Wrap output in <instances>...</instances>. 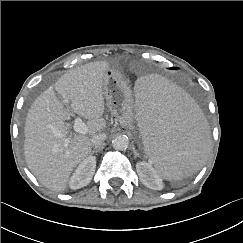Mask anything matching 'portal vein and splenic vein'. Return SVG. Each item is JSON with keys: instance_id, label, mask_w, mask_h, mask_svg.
Listing matches in <instances>:
<instances>
[{"instance_id": "portal-vein-and-splenic-vein-1", "label": "portal vein and splenic vein", "mask_w": 243, "mask_h": 243, "mask_svg": "<svg viewBox=\"0 0 243 243\" xmlns=\"http://www.w3.org/2000/svg\"><path fill=\"white\" fill-rule=\"evenodd\" d=\"M65 101V103H68V100L66 99V100H64ZM74 131L76 132V133H80V134H86L87 133V126H86V124L82 121V119L81 118H79V117H77L76 119H75V123H74ZM55 134L57 135V136H61V133L60 132H58V131H56L55 130ZM68 144V140L66 141V145Z\"/></svg>"}]
</instances>
